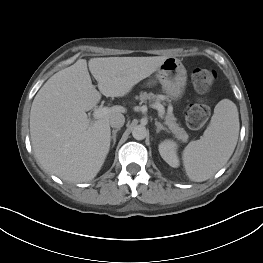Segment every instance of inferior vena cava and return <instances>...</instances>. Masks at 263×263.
<instances>
[{
  "label": "inferior vena cava",
  "instance_id": "1",
  "mask_svg": "<svg viewBox=\"0 0 263 263\" xmlns=\"http://www.w3.org/2000/svg\"><path fill=\"white\" fill-rule=\"evenodd\" d=\"M124 122H125V117L121 113L113 114L109 121L110 126L112 128H117V129L121 128L124 125Z\"/></svg>",
  "mask_w": 263,
  "mask_h": 263
}]
</instances>
